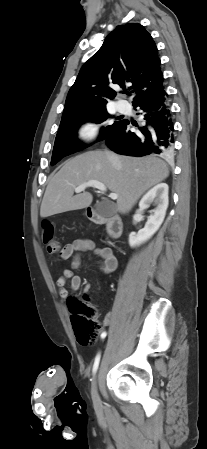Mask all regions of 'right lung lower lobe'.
Segmentation results:
<instances>
[{
    "label": "right lung lower lobe",
    "instance_id": "right-lung-lower-lobe-1",
    "mask_svg": "<svg viewBox=\"0 0 207 449\" xmlns=\"http://www.w3.org/2000/svg\"><path fill=\"white\" fill-rule=\"evenodd\" d=\"M167 97L163 89L155 95L134 101L133 106L140 108L145 124L139 127V132L134 133L128 130L129 121L122 120L118 128L106 138L107 146L118 154L130 156H170L174 128Z\"/></svg>",
    "mask_w": 207,
    "mask_h": 449
}]
</instances>
